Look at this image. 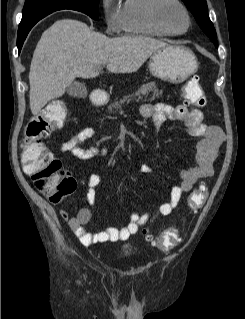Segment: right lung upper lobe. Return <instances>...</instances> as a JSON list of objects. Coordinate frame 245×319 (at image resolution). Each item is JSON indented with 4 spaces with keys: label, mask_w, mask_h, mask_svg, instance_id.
I'll return each instance as SVG.
<instances>
[{
    "label": "right lung upper lobe",
    "mask_w": 245,
    "mask_h": 319,
    "mask_svg": "<svg viewBox=\"0 0 245 319\" xmlns=\"http://www.w3.org/2000/svg\"><path fill=\"white\" fill-rule=\"evenodd\" d=\"M54 12V11H52ZM50 11H47V12H38L36 15L33 16V19L28 23L27 26L33 24V23H36L38 22L40 19H42L43 17L47 16L48 14L52 13ZM25 28V27H24ZM19 29H22V28H19Z\"/></svg>",
    "instance_id": "cb5924a9"
}]
</instances>
